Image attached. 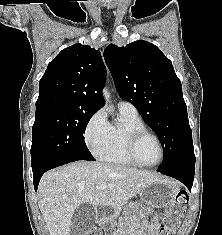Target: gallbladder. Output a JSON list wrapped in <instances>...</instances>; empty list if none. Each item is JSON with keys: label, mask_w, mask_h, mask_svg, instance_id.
I'll use <instances>...</instances> for the list:
<instances>
[{"label": "gallbladder", "mask_w": 222, "mask_h": 235, "mask_svg": "<svg viewBox=\"0 0 222 235\" xmlns=\"http://www.w3.org/2000/svg\"><path fill=\"white\" fill-rule=\"evenodd\" d=\"M70 235H87L95 223V210L92 204L79 205L72 216Z\"/></svg>", "instance_id": "bac80fb5"}]
</instances>
